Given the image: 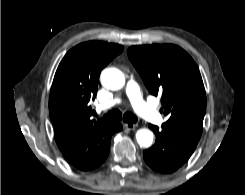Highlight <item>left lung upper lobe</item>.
I'll use <instances>...</instances> for the list:
<instances>
[{"mask_svg":"<svg viewBox=\"0 0 245 195\" xmlns=\"http://www.w3.org/2000/svg\"><path fill=\"white\" fill-rule=\"evenodd\" d=\"M129 59L148 91L160 96L163 125L201 136L206 94L198 66L182 48L172 45L132 46Z\"/></svg>","mask_w":245,"mask_h":195,"instance_id":"obj_1","label":"left lung upper lobe"}]
</instances>
